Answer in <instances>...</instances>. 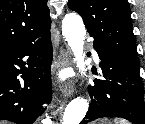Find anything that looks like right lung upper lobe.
<instances>
[{"mask_svg": "<svg viewBox=\"0 0 145 124\" xmlns=\"http://www.w3.org/2000/svg\"><path fill=\"white\" fill-rule=\"evenodd\" d=\"M47 0H0V47L36 40L49 32Z\"/></svg>", "mask_w": 145, "mask_h": 124, "instance_id": "cb5924a9", "label": "right lung upper lobe"}]
</instances>
